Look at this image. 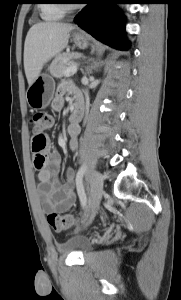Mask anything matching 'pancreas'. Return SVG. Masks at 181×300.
Instances as JSON below:
<instances>
[{"label": "pancreas", "mask_w": 181, "mask_h": 300, "mask_svg": "<svg viewBox=\"0 0 181 300\" xmlns=\"http://www.w3.org/2000/svg\"><path fill=\"white\" fill-rule=\"evenodd\" d=\"M79 57H81V54L77 52H71V53L66 52L57 56L53 60L49 68L51 75L56 78H61L65 76L66 69L71 65H73V63L70 62V60L72 58H79Z\"/></svg>", "instance_id": "cf45deb5"}]
</instances>
